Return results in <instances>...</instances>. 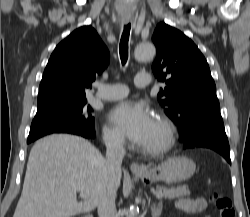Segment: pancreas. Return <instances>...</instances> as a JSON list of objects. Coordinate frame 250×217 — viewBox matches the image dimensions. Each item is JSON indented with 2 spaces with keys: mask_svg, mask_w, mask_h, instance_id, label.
<instances>
[{
  "mask_svg": "<svg viewBox=\"0 0 250 217\" xmlns=\"http://www.w3.org/2000/svg\"><path fill=\"white\" fill-rule=\"evenodd\" d=\"M163 194L166 199L172 200L175 198L188 196L190 194L189 189L186 186H178V187H162L157 186L155 190V194Z\"/></svg>",
  "mask_w": 250,
  "mask_h": 217,
  "instance_id": "cf45deb5",
  "label": "pancreas"
}]
</instances>
